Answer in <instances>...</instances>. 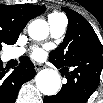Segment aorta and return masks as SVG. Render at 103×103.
<instances>
[{
  "label": "aorta",
  "instance_id": "aorta-1",
  "mask_svg": "<svg viewBox=\"0 0 103 103\" xmlns=\"http://www.w3.org/2000/svg\"><path fill=\"white\" fill-rule=\"evenodd\" d=\"M28 34L34 40H43L49 34L48 23L45 20L37 19L28 26ZM39 91L47 96L55 95L61 84L59 74L52 69L41 70L35 78Z\"/></svg>",
  "mask_w": 103,
  "mask_h": 103
}]
</instances>
